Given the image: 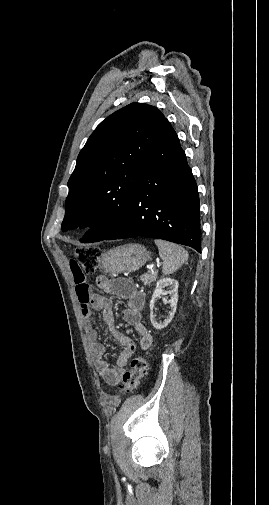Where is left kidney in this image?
Segmentation results:
<instances>
[{
  "label": "left kidney",
  "mask_w": 269,
  "mask_h": 505,
  "mask_svg": "<svg viewBox=\"0 0 269 505\" xmlns=\"http://www.w3.org/2000/svg\"><path fill=\"white\" fill-rule=\"evenodd\" d=\"M178 286L179 283L177 280L171 279V278H162L160 279L157 284L156 288L154 290L152 299L150 301V320L151 324L155 329L161 330L165 328L173 319V316L176 312L177 308V302H178ZM166 288H168L166 290ZM160 295H169L170 299L168 300V303L170 304L171 310L168 312V316L166 319L163 321L158 322L156 319V315L153 313L154 305L157 300V297Z\"/></svg>",
  "instance_id": "5707ae66"
}]
</instances>
